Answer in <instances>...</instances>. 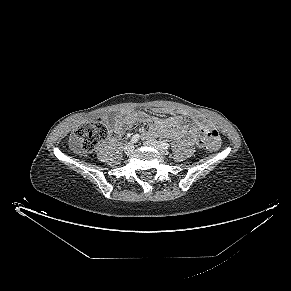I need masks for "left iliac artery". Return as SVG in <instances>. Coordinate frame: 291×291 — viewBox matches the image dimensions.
<instances>
[{
	"mask_svg": "<svg viewBox=\"0 0 291 291\" xmlns=\"http://www.w3.org/2000/svg\"><path fill=\"white\" fill-rule=\"evenodd\" d=\"M160 145H161L164 149H168V148L170 147V145H169L167 142H165V141H161V142H160Z\"/></svg>",
	"mask_w": 291,
	"mask_h": 291,
	"instance_id": "44dca946",
	"label": "left iliac artery"
}]
</instances>
